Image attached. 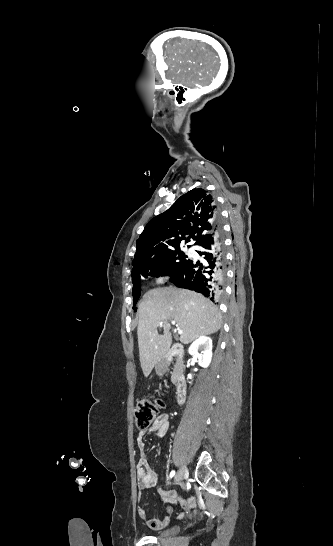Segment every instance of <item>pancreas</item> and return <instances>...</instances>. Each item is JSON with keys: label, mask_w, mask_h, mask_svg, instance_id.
I'll list each match as a JSON object with an SVG mask.
<instances>
[{"label": "pancreas", "mask_w": 333, "mask_h": 546, "mask_svg": "<svg viewBox=\"0 0 333 546\" xmlns=\"http://www.w3.org/2000/svg\"><path fill=\"white\" fill-rule=\"evenodd\" d=\"M171 381H172L173 384H176L177 381H178V376H177L176 374H173V375L171 376Z\"/></svg>", "instance_id": "1"}]
</instances>
